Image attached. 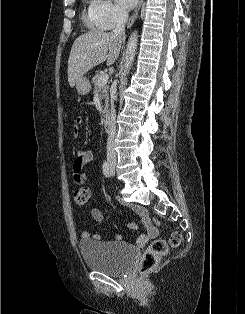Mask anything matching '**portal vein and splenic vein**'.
Instances as JSON below:
<instances>
[{"instance_id": "obj_1", "label": "portal vein and splenic vein", "mask_w": 245, "mask_h": 314, "mask_svg": "<svg viewBox=\"0 0 245 314\" xmlns=\"http://www.w3.org/2000/svg\"><path fill=\"white\" fill-rule=\"evenodd\" d=\"M108 79H109V75L108 74H102L99 78H98V81H97V84L99 86H102L104 84H106L108 82Z\"/></svg>"}]
</instances>
